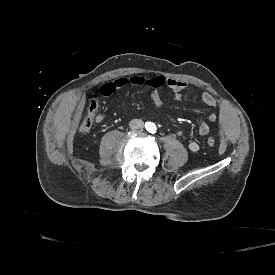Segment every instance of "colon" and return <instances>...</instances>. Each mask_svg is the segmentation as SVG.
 I'll use <instances>...</instances> for the list:
<instances>
[{"mask_svg":"<svg viewBox=\"0 0 275 275\" xmlns=\"http://www.w3.org/2000/svg\"><path fill=\"white\" fill-rule=\"evenodd\" d=\"M99 113V104L95 98H91L88 103L87 113L83 118V121L80 125L81 132H89L93 123L96 119V115ZM208 146H213L215 144V139L213 137H209L207 140Z\"/></svg>","mask_w":275,"mask_h":275,"instance_id":"colon-1","label":"colon"}]
</instances>
